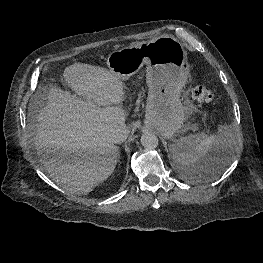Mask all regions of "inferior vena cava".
<instances>
[{
  "mask_svg": "<svg viewBox=\"0 0 263 263\" xmlns=\"http://www.w3.org/2000/svg\"><path fill=\"white\" fill-rule=\"evenodd\" d=\"M129 131L126 126L118 127L111 133V140L114 143H122L128 137Z\"/></svg>",
  "mask_w": 263,
  "mask_h": 263,
  "instance_id": "602c4592",
  "label": "inferior vena cava"
}]
</instances>
